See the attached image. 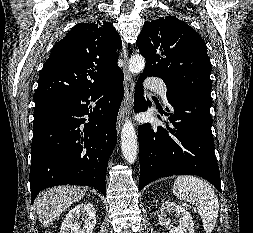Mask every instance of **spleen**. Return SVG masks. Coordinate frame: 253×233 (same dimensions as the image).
<instances>
[{
  "label": "spleen",
  "instance_id": "3e777b00",
  "mask_svg": "<svg viewBox=\"0 0 253 233\" xmlns=\"http://www.w3.org/2000/svg\"><path fill=\"white\" fill-rule=\"evenodd\" d=\"M172 190L178 199L197 207L204 230L211 233L219 212L218 198L211 186L200 178L186 175L177 177Z\"/></svg>",
  "mask_w": 253,
  "mask_h": 233
}]
</instances>
